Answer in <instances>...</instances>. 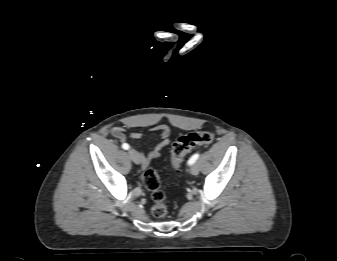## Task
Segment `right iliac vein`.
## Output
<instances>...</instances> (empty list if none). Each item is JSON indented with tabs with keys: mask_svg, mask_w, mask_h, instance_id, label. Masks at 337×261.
<instances>
[{
	"mask_svg": "<svg viewBox=\"0 0 337 261\" xmlns=\"http://www.w3.org/2000/svg\"><path fill=\"white\" fill-rule=\"evenodd\" d=\"M128 153H129V156H130L131 160L135 164H140L141 163L140 155H139V153L136 150L130 149Z\"/></svg>",
	"mask_w": 337,
	"mask_h": 261,
	"instance_id": "63e3f726",
	"label": "right iliac vein"
}]
</instances>
